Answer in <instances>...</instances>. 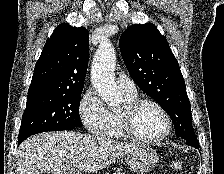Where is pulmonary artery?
Wrapping results in <instances>:
<instances>
[{"mask_svg": "<svg viewBox=\"0 0 224 174\" xmlns=\"http://www.w3.org/2000/svg\"><path fill=\"white\" fill-rule=\"evenodd\" d=\"M116 82H117L119 89L121 90V92L123 94L128 95V96H136V94H137L136 85L133 82V80H131L128 76H126L124 74H120L117 77Z\"/></svg>", "mask_w": 224, "mask_h": 174, "instance_id": "obj_1", "label": "pulmonary artery"}]
</instances>
